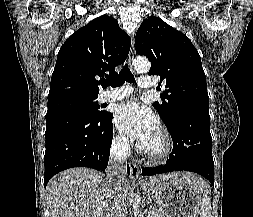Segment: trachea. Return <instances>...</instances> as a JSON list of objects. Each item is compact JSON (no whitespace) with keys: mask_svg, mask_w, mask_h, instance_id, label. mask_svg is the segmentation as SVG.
I'll return each instance as SVG.
<instances>
[{"mask_svg":"<svg viewBox=\"0 0 253 217\" xmlns=\"http://www.w3.org/2000/svg\"><path fill=\"white\" fill-rule=\"evenodd\" d=\"M125 81L129 83H135V78L127 65L123 67L118 76L107 80L106 84L110 85L112 88H116L120 87Z\"/></svg>","mask_w":253,"mask_h":217,"instance_id":"3493384b","label":"trachea"}]
</instances>
